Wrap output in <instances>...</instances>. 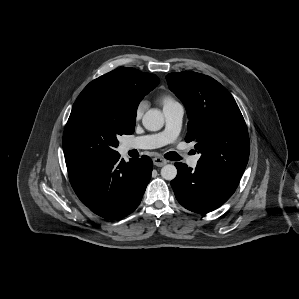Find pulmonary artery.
<instances>
[{
    "label": "pulmonary artery",
    "mask_w": 299,
    "mask_h": 299,
    "mask_svg": "<svg viewBox=\"0 0 299 299\" xmlns=\"http://www.w3.org/2000/svg\"><path fill=\"white\" fill-rule=\"evenodd\" d=\"M165 129L156 134L145 135L128 140L124 143V150L132 149H154L173 142L181 130L184 109L181 104L177 103L164 108ZM199 155L187 158L190 167H196Z\"/></svg>",
    "instance_id": "obj_1"
}]
</instances>
